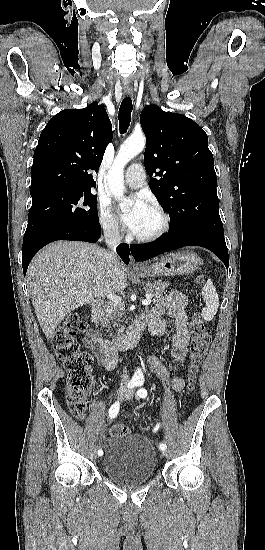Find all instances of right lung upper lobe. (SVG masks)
<instances>
[{
  "instance_id": "cb5924a9",
  "label": "right lung upper lobe",
  "mask_w": 265,
  "mask_h": 550,
  "mask_svg": "<svg viewBox=\"0 0 265 550\" xmlns=\"http://www.w3.org/2000/svg\"><path fill=\"white\" fill-rule=\"evenodd\" d=\"M111 139V122L102 105L94 102L59 112L43 129L34 151L31 189L91 190L96 183L89 172H98Z\"/></svg>"
}]
</instances>
